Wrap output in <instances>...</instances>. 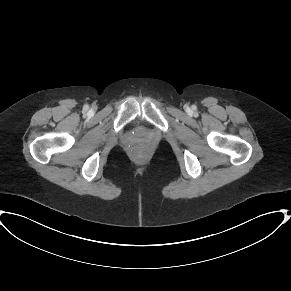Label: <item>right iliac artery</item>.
I'll return each mask as SVG.
<instances>
[{
    "instance_id": "right-iliac-artery-1",
    "label": "right iliac artery",
    "mask_w": 291,
    "mask_h": 291,
    "mask_svg": "<svg viewBox=\"0 0 291 291\" xmlns=\"http://www.w3.org/2000/svg\"><path fill=\"white\" fill-rule=\"evenodd\" d=\"M88 108H89L88 105H85V106H84V109H85V110H88Z\"/></svg>"
}]
</instances>
